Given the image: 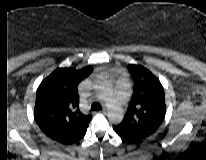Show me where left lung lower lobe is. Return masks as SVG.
<instances>
[{
  "label": "left lung lower lobe",
  "mask_w": 206,
  "mask_h": 160,
  "mask_svg": "<svg viewBox=\"0 0 206 160\" xmlns=\"http://www.w3.org/2000/svg\"><path fill=\"white\" fill-rule=\"evenodd\" d=\"M114 130L123 139L131 141V142H135V141H137L139 139H142L141 137H138V136H136L134 134H131V133H128V132H124V131H120V130L116 129L115 126H114Z\"/></svg>",
  "instance_id": "obj_1"
}]
</instances>
